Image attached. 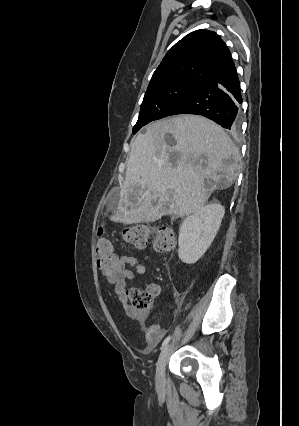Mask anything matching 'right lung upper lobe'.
Returning a JSON list of instances; mask_svg holds the SVG:
<instances>
[{
    "label": "right lung upper lobe",
    "mask_w": 299,
    "mask_h": 426,
    "mask_svg": "<svg viewBox=\"0 0 299 426\" xmlns=\"http://www.w3.org/2000/svg\"><path fill=\"white\" fill-rule=\"evenodd\" d=\"M232 66L234 62L223 40L215 32L196 30L167 52L148 88L173 82L201 86Z\"/></svg>",
    "instance_id": "obj_1"
}]
</instances>
